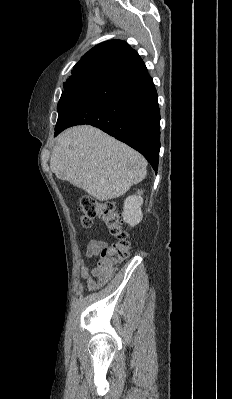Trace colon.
<instances>
[{"label":"colon","instance_id":"5ec220e1","mask_svg":"<svg viewBox=\"0 0 232 399\" xmlns=\"http://www.w3.org/2000/svg\"><path fill=\"white\" fill-rule=\"evenodd\" d=\"M81 225L83 227H90L93 225L95 216H102V221L106 223V230L109 233L116 235V244L108 246V252H101V247H96V260L105 258V261L98 262L96 270V281L98 283H111L113 276V262L114 269H119V261L129 260V241H125V225H121V220L117 218V212L114 211L116 203L114 200H109V203H103V200L94 201V198L89 197V194H84L81 198ZM120 231V234H117ZM126 234H131V227H126ZM105 273V276H104Z\"/></svg>","mask_w":232,"mask_h":399}]
</instances>
